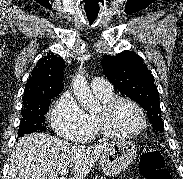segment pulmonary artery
Returning a JSON list of instances; mask_svg holds the SVG:
<instances>
[{"instance_id":"pulmonary-artery-1","label":"pulmonary artery","mask_w":183,"mask_h":179,"mask_svg":"<svg viewBox=\"0 0 183 179\" xmlns=\"http://www.w3.org/2000/svg\"><path fill=\"white\" fill-rule=\"evenodd\" d=\"M91 89L94 93H110L112 92V86L111 84L100 77H96L91 82Z\"/></svg>"}]
</instances>
